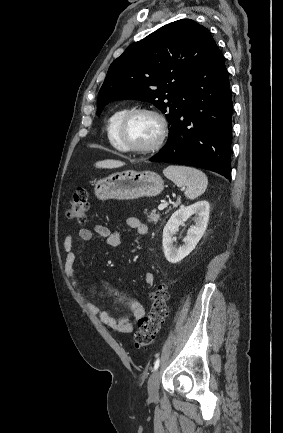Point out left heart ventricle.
I'll list each match as a JSON object with an SVG mask.
<instances>
[{
    "instance_id": "left-heart-ventricle-1",
    "label": "left heart ventricle",
    "mask_w": 283,
    "mask_h": 433,
    "mask_svg": "<svg viewBox=\"0 0 283 433\" xmlns=\"http://www.w3.org/2000/svg\"><path fill=\"white\" fill-rule=\"evenodd\" d=\"M161 124L151 114H138L132 118L125 130V139L137 148L151 147L159 138Z\"/></svg>"
}]
</instances>
